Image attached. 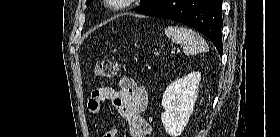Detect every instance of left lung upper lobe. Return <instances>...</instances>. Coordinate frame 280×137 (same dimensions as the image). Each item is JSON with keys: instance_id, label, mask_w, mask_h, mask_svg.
Instances as JSON below:
<instances>
[{"instance_id": "1", "label": "left lung upper lobe", "mask_w": 280, "mask_h": 137, "mask_svg": "<svg viewBox=\"0 0 280 137\" xmlns=\"http://www.w3.org/2000/svg\"><path fill=\"white\" fill-rule=\"evenodd\" d=\"M92 0H87V5L91 3ZM162 0H141L140 7L135 8V11H138L140 13H145L155 7L158 3H160Z\"/></svg>"}]
</instances>
